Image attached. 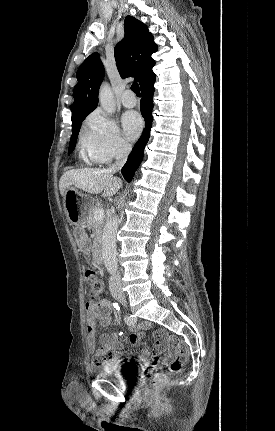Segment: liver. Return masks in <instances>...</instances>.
Returning <instances> with one entry per match:
<instances>
[{"instance_id": "obj_1", "label": "liver", "mask_w": 275, "mask_h": 431, "mask_svg": "<svg viewBox=\"0 0 275 431\" xmlns=\"http://www.w3.org/2000/svg\"><path fill=\"white\" fill-rule=\"evenodd\" d=\"M72 186L89 194L103 192V197H111L121 188L122 182L108 169H78L66 171L62 175L59 182L60 194L64 196Z\"/></svg>"}]
</instances>
